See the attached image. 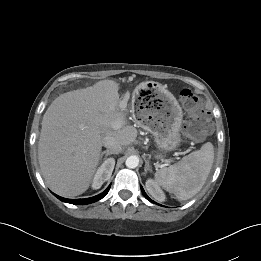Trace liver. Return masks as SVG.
<instances>
[{
	"instance_id": "1",
	"label": "liver",
	"mask_w": 261,
	"mask_h": 261,
	"mask_svg": "<svg viewBox=\"0 0 261 261\" xmlns=\"http://www.w3.org/2000/svg\"><path fill=\"white\" fill-rule=\"evenodd\" d=\"M118 84L102 80L94 86L57 97L45 112L38 143V159L46 184L57 194L84 193L99 165L103 140L114 137L132 144L137 130L127 125ZM120 123L114 130L112 125Z\"/></svg>"
}]
</instances>
